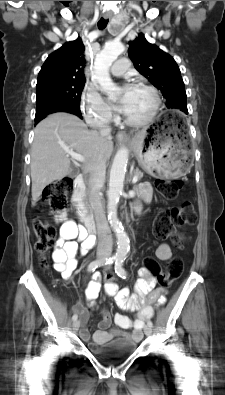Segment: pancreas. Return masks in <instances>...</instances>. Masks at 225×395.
I'll return each instance as SVG.
<instances>
[{"label":"pancreas","instance_id":"cf45deb5","mask_svg":"<svg viewBox=\"0 0 225 395\" xmlns=\"http://www.w3.org/2000/svg\"><path fill=\"white\" fill-rule=\"evenodd\" d=\"M133 175L137 176L138 179L140 180L143 177V172L140 171L139 169H136V170H134Z\"/></svg>","mask_w":225,"mask_h":395}]
</instances>
